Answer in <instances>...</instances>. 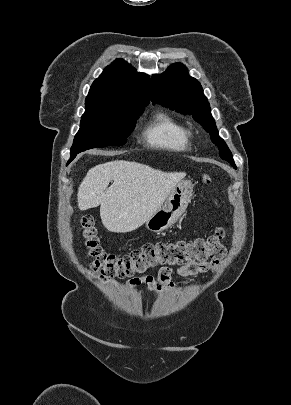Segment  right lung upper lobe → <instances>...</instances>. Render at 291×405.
I'll list each match as a JSON object with an SVG mask.
<instances>
[{"instance_id":"1","label":"right lung upper lobe","mask_w":291,"mask_h":405,"mask_svg":"<svg viewBox=\"0 0 291 405\" xmlns=\"http://www.w3.org/2000/svg\"><path fill=\"white\" fill-rule=\"evenodd\" d=\"M150 101V78L122 59L107 66L85 100L86 108L140 109Z\"/></svg>"}]
</instances>
